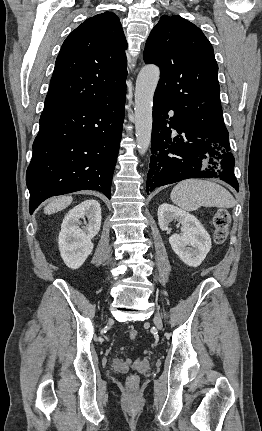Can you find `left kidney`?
<instances>
[{
    "label": "left kidney",
    "mask_w": 262,
    "mask_h": 431,
    "mask_svg": "<svg viewBox=\"0 0 262 431\" xmlns=\"http://www.w3.org/2000/svg\"><path fill=\"white\" fill-rule=\"evenodd\" d=\"M157 215L163 231L168 230L173 221L182 225L181 235L173 234L169 237V243L185 264L198 267L211 249V238L200 221L188 212L167 203L159 206Z\"/></svg>",
    "instance_id": "left-kidney-1"
}]
</instances>
